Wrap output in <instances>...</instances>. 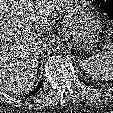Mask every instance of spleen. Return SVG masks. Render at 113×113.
<instances>
[{
	"label": "spleen",
	"mask_w": 113,
	"mask_h": 113,
	"mask_svg": "<svg viewBox=\"0 0 113 113\" xmlns=\"http://www.w3.org/2000/svg\"><path fill=\"white\" fill-rule=\"evenodd\" d=\"M84 71L94 80H113V42L104 46L101 54L85 57L81 61Z\"/></svg>",
	"instance_id": "1"
}]
</instances>
